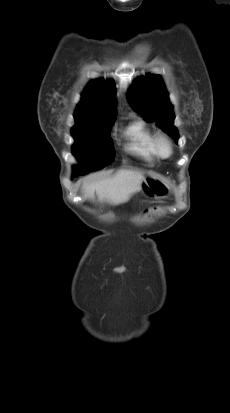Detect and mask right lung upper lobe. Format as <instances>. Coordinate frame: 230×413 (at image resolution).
<instances>
[{"mask_svg": "<svg viewBox=\"0 0 230 413\" xmlns=\"http://www.w3.org/2000/svg\"><path fill=\"white\" fill-rule=\"evenodd\" d=\"M115 94L116 87L113 80L97 79L89 82L82 93V101L75 110L74 128L115 120L117 114Z\"/></svg>", "mask_w": 230, "mask_h": 413, "instance_id": "cb5924a9", "label": "right lung upper lobe"}]
</instances>
